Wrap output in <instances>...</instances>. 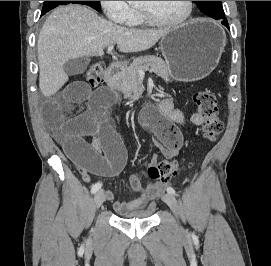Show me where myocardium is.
<instances>
[{
    "label": "myocardium",
    "mask_w": 271,
    "mask_h": 266,
    "mask_svg": "<svg viewBox=\"0 0 271 266\" xmlns=\"http://www.w3.org/2000/svg\"><path fill=\"white\" fill-rule=\"evenodd\" d=\"M186 5H187V10H186L185 15L181 17L180 19L172 20V21L159 19L152 12H150L149 10L143 7H139V12L144 18V20L150 24L157 25V26H165V27H178L187 23L192 17L193 8H194L193 1H186Z\"/></svg>",
    "instance_id": "obj_1"
}]
</instances>
